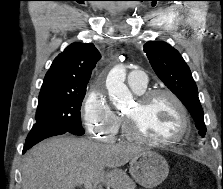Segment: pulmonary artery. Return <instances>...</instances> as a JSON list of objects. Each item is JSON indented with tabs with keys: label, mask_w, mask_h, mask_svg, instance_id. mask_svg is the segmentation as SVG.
<instances>
[{
	"label": "pulmonary artery",
	"mask_w": 223,
	"mask_h": 189,
	"mask_svg": "<svg viewBox=\"0 0 223 189\" xmlns=\"http://www.w3.org/2000/svg\"><path fill=\"white\" fill-rule=\"evenodd\" d=\"M148 82L147 76L143 70L135 69L129 73L127 84L134 91H142Z\"/></svg>",
	"instance_id": "obj_1"
}]
</instances>
